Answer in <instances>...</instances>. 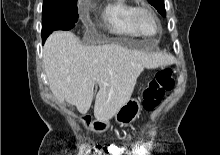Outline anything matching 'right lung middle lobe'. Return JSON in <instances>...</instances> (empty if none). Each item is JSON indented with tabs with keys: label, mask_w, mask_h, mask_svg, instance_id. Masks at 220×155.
I'll return each instance as SVG.
<instances>
[{
	"label": "right lung middle lobe",
	"mask_w": 220,
	"mask_h": 155,
	"mask_svg": "<svg viewBox=\"0 0 220 155\" xmlns=\"http://www.w3.org/2000/svg\"><path fill=\"white\" fill-rule=\"evenodd\" d=\"M77 20V0H43V42L54 30L72 29Z\"/></svg>",
	"instance_id": "obj_1"
}]
</instances>
